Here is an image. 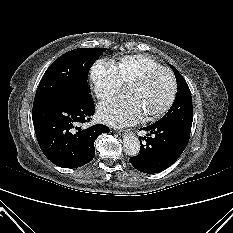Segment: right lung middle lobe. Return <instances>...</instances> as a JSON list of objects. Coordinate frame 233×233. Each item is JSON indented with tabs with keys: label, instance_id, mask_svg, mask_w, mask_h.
<instances>
[{
	"label": "right lung middle lobe",
	"instance_id": "dd1d6c3e",
	"mask_svg": "<svg viewBox=\"0 0 233 233\" xmlns=\"http://www.w3.org/2000/svg\"><path fill=\"white\" fill-rule=\"evenodd\" d=\"M105 50L78 48L56 59L40 81L33 107L51 101L76 100L89 96V70Z\"/></svg>",
	"mask_w": 233,
	"mask_h": 233
}]
</instances>
